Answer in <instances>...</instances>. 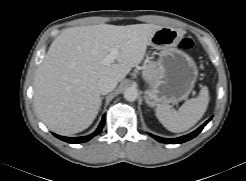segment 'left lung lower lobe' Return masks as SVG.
Masks as SVG:
<instances>
[{"instance_id": "1", "label": "left lung lower lobe", "mask_w": 246, "mask_h": 181, "mask_svg": "<svg viewBox=\"0 0 246 181\" xmlns=\"http://www.w3.org/2000/svg\"><path fill=\"white\" fill-rule=\"evenodd\" d=\"M212 119V117L207 120L202 126H200L197 130H195L194 132L188 134V135H185V136H182V137H179V138H175V139H166V138H161V137H158V136H154L152 134H150V136H152L153 138H155L156 140H158L159 142L161 143H167V144H180V143H183V142H186L188 140H191L192 138L196 137L201 131L202 129L204 128V126Z\"/></svg>"}]
</instances>
